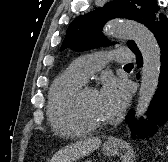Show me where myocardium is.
<instances>
[{"instance_id": "myocardium-1", "label": "myocardium", "mask_w": 168, "mask_h": 162, "mask_svg": "<svg viewBox=\"0 0 168 162\" xmlns=\"http://www.w3.org/2000/svg\"><path fill=\"white\" fill-rule=\"evenodd\" d=\"M90 90L95 91V89L88 86H81L76 91L71 101V111L77 122L81 124L85 129L95 130L104 127L106 123L92 121L86 116L84 112L83 99L86 92Z\"/></svg>"}]
</instances>
